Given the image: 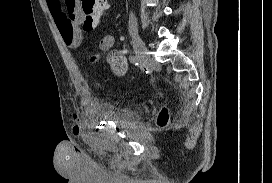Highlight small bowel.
Wrapping results in <instances>:
<instances>
[{
    "instance_id": "obj_1",
    "label": "small bowel",
    "mask_w": 272,
    "mask_h": 183,
    "mask_svg": "<svg viewBox=\"0 0 272 183\" xmlns=\"http://www.w3.org/2000/svg\"><path fill=\"white\" fill-rule=\"evenodd\" d=\"M46 3L65 45L72 49L78 48L83 40L79 14L75 13L73 19H69V0H46ZM114 42V36L107 34L101 38L99 47L103 51H109L113 48ZM111 63L118 74L125 73L127 63L122 52L114 54L111 57ZM73 117L78 121L80 120V115L78 114H74Z\"/></svg>"
}]
</instances>
